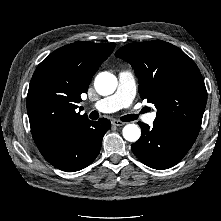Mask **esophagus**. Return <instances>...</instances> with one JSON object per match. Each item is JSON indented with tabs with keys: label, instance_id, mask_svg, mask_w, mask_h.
Returning a JSON list of instances; mask_svg holds the SVG:
<instances>
[{
	"label": "esophagus",
	"instance_id": "1",
	"mask_svg": "<svg viewBox=\"0 0 221 221\" xmlns=\"http://www.w3.org/2000/svg\"><path fill=\"white\" fill-rule=\"evenodd\" d=\"M112 125H114V126H123V125H125V123L122 122V121H119V120H112Z\"/></svg>",
	"mask_w": 221,
	"mask_h": 221
}]
</instances>
